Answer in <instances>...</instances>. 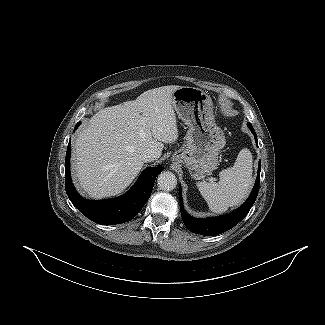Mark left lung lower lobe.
I'll use <instances>...</instances> for the list:
<instances>
[{"label":"left lung lower lobe","mask_w":325,"mask_h":325,"mask_svg":"<svg viewBox=\"0 0 325 325\" xmlns=\"http://www.w3.org/2000/svg\"><path fill=\"white\" fill-rule=\"evenodd\" d=\"M248 127L255 136V142L257 143L256 133L252 125L248 122ZM258 146V144H257ZM260 169H261V162L258 165V172L256 182L252 189V192L248 199L235 211L231 212L228 215H223L214 218H207V219H197L189 216L183 207L182 203V194L180 188V210L183 222L185 226L193 233L206 235V236H213L218 235L223 232H226L237 225L250 211L251 207L253 206L256 197L259 191V183H260Z\"/></svg>","instance_id":"left-lung-lower-lobe-1"}]
</instances>
